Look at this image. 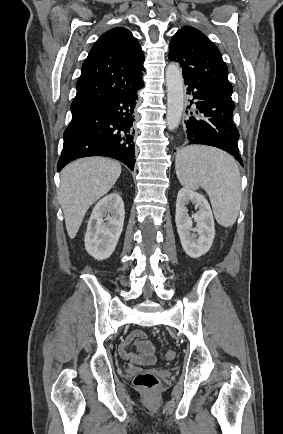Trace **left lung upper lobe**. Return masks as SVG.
<instances>
[{"mask_svg":"<svg viewBox=\"0 0 283 434\" xmlns=\"http://www.w3.org/2000/svg\"><path fill=\"white\" fill-rule=\"evenodd\" d=\"M169 59L179 63L184 76L196 78L232 95L228 69L219 49L196 28L184 26L173 35Z\"/></svg>","mask_w":283,"mask_h":434,"instance_id":"left-lung-upper-lobe-1","label":"left lung upper lobe"}]
</instances>
